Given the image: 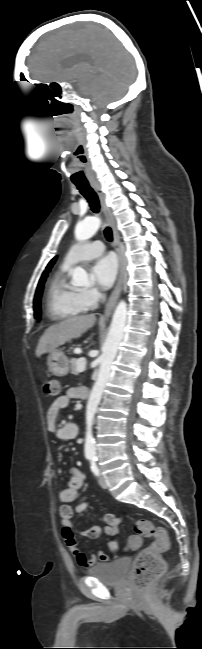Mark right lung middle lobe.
Returning a JSON list of instances; mask_svg holds the SVG:
<instances>
[{
    "label": "right lung middle lobe",
    "mask_w": 202,
    "mask_h": 649,
    "mask_svg": "<svg viewBox=\"0 0 202 649\" xmlns=\"http://www.w3.org/2000/svg\"><path fill=\"white\" fill-rule=\"evenodd\" d=\"M48 272L49 271L42 274V276H41V278L39 280L37 289H36L35 298H34V302H33V304H34V306H33L34 307V317L36 319H39L40 316H41L40 302H41V296H42V292H43V288H44V282L46 281Z\"/></svg>",
    "instance_id": "1"
}]
</instances>
